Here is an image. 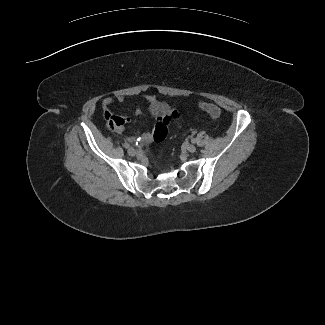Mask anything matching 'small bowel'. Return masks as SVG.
Segmentation results:
<instances>
[{"instance_id": "obj_1", "label": "small bowel", "mask_w": 325, "mask_h": 325, "mask_svg": "<svg viewBox=\"0 0 325 325\" xmlns=\"http://www.w3.org/2000/svg\"><path fill=\"white\" fill-rule=\"evenodd\" d=\"M116 100L120 103L126 101V97L123 95H119L116 97ZM146 100L148 102L149 113L152 117V130L150 132H146L142 135V139L146 142L155 140L156 142L162 141L167 134V124L170 119H177L179 114L177 112L172 111V106L168 103L158 101L153 96H147ZM114 103V99L112 97H106L103 99L102 106L104 109V116L108 122L109 127L116 133H121L124 129L125 124L131 121L130 117H118L112 114L110 111L111 106ZM134 114L140 113L139 106H135Z\"/></svg>"}]
</instances>
